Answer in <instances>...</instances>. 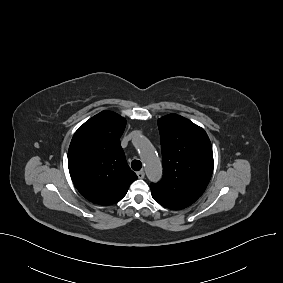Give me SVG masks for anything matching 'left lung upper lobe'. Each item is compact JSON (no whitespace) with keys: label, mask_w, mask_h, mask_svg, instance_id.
Here are the masks:
<instances>
[{"label":"left lung upper lobe","mask_w":283,"mask_h":283,"mask_svg":"<svg viewBox=\"0 0 283 283\" xmlns=\"http://www.w3.org/2000/svg\"><path fill=\"white\" fill-rule=\"evenodd\" d=\"M158 127L163 177L150 185L152 197L166 208L183 209L203 194L210 181L211 142L204 129L174 113L158 119Z\"/></svg>","instance_id":"left-lung-upper-lobe-1"}]
</instances>
